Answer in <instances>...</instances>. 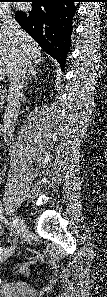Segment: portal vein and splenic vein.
<instances>
[{"label": "portal vein and splenic vein", "mask_w": 107, "mask_h": 297, "mask_svg": "<svg viewBox=\"0 0 107 297\" xmlns=\"http://www.w3.org/2000/svg\"><path fill=\"white\" fill-rule=\"evenodd\" d=\"M0 79H1V80H3V79H4V77L0 76Z\"/></svg>", "instance_id": "1"}]
</instances>
